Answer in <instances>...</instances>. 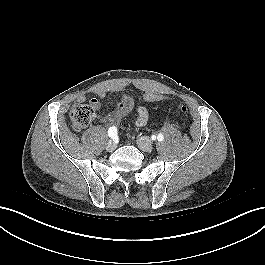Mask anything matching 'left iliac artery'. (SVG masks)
I'll return each instance as SVG.
<instances>
[{
  "instance_id": "left-iliac-artery-1",
  "label": "left iliac artery",
  "mask_w": 265,
  "mask_h": 265,
  "mask_svg": "<svg viewBox=\"0 0 265 265\" xmlns=\"http://www.w3.org/2000/svg\"><path fill=\"white\" fill-rule=\"evenodd\" d=\"M158 141H162L164 139V136L160 133L157 136Z\"/></svg>"
}]
</instances>
